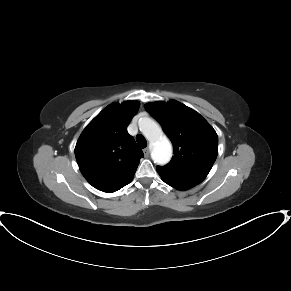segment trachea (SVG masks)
<instances>
[{
  "instance_id": "1",
  "label": "trachea",
  "mask_w": 291,
  "mask_h": 291,
  "mask_svg": "<svg viewBox=\"0 0 291 291\" xmlns=\"http://www.w3.org/2000/svg\"><path fill=\"white\" fill-rule=\"evenodd\" d=\"M136 141H137L140 148H145L147 146V141H146L145 137L141 134L136 136Z\"/></svg>"
}]
</instances>
